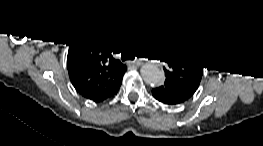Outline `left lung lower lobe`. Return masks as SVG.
Masks as SVG:
<instances>
[{"label": "left lung lower lobe", "mask_w": 263, "mask_h": 146, "mask_svg": "<svg viewBox=\"0 0 263 146\" xmlns=\"http://www.w3.org/2000/svg\"><path fill=\"white\" fill-rule=\"evenodd\" d=\"M152 94L158 101L170 105L182 103L191 97L171 81H165L164 85L154 88Z\"/></svg>", "instance_id": "0a47b994"}]
</instances>
